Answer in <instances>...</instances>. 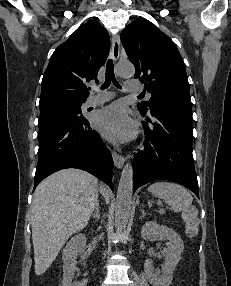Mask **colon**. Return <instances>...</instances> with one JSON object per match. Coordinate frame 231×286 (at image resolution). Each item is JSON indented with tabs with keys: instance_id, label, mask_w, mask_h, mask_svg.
I'll list each match as a JSON object with an SVG mask.
<instances>
[{
	"instance_id": "obj_1",
	"label": "colon",
	"mask_w": 231,
	"mask_h": 286,
	"mask_svg": "<svg viewBox=\"0 0 231 286\" xmlns=\"http://www.w3.org/2000/svg\"><path fill=\"white\" fill-rule=\"evenodd\" d=\"M183 219L186 223V230L189 236H194L197 232L196 211L193 207L185 209Z\"/></svg>"
}]
</instances>
